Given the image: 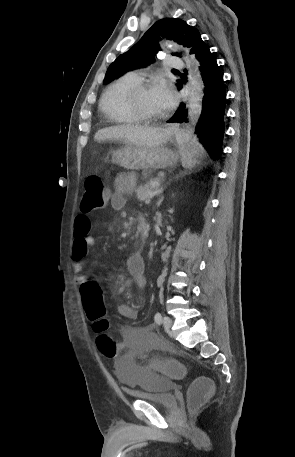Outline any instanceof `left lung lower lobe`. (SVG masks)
Instances as JSON below:
<instances>
[{
    "instance_id": "left-lung-lower-lobe-1",
    "label": "left lung lower lobe",
    "mask_w": 295,
    "mask_h": 457,
    "mask_svg": "<svg viewBox=\"0 0 295 457\" xmlns=\"http://www.w3.org/2000/svg\"><path fill=\"white\" fill-rule=\"evenodd\" d=\"M190 54H194L199 61V70L205 86L202 112L195 131L196 141L205 147L212 159H219L222 153V139L225 130L226 92L223 77L215 57L201 38L192 46ZM181 88L182 84L179 85V89ZM183 121L187 122V110L185 104L181 103L168 122Z\"/></svg>"
}]
</instances>
